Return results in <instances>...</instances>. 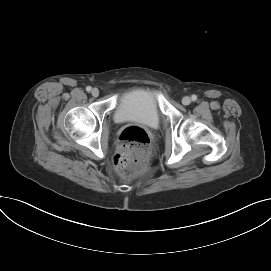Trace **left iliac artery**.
Listing matches in <instances>:
<instances>
[{"instance_id": "obj_1", "label": "left iliac artery", "mask_w": 271, "mask_h": 271, "mask_svg": "<svg viewBox=\"0 0 271 271\" xmlns=\"http://www.w3.org/2000/svg\"><path fill=\"white\" fill-rule=\"evenodd\" d=\"M192 101H196V99H197V96L196 95H192Z\"/></svg>"}]
</instances>
